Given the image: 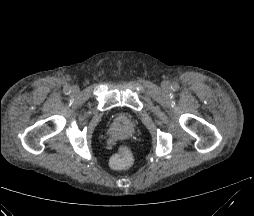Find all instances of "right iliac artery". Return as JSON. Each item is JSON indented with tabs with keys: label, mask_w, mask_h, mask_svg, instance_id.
Returning a JSON list of instances; mask_svg holds the SVG:
<instances>
[{
	"label": "right iliac artery",
	"mask_w": 254,
	"mask_h": 216,
	"mask_svg": "<svg viewBox=\"0 0 254 216\" xmlns=\"http://www.w3.org/2000/svg\"><path fill=\"white\" fill-rule=\"evenodd\" d=\"M70 92H71V89L69 87L64 88V93L65 94H70Z\"/></svg>",
	"instance_id": "obj_1"
}]
</instances>
